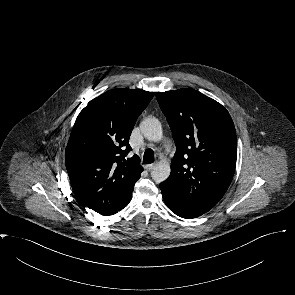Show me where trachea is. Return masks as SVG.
Returning <instances> with one entry per match:
<instances>
[{
  "instance_id": "3493384b",
  "label": "trachea",
  "mask_w": 295,
  "mask_h": 295,
  "mask_svg": "<svg viewBox=\"0 0 295 295\" xmlns=\"http://www.w3.org/2000/svg\"><path fill=\"white\" fill-rule=\"evenodd\" d=\"M154 162V151L147 149L143 156V164H150Z\"/></svg>"
}]
</instances>
